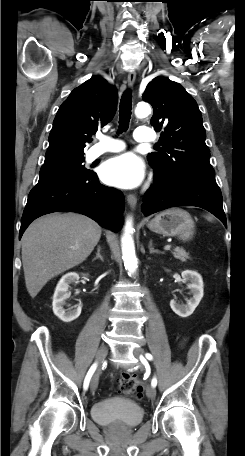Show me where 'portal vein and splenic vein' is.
Instances as JSON below:
<instances>
[{
    "mask_svg": "<svg viewBox=\"0 0 245 456\" xmlns=\"http://www.w3.org/2000/svg\"><path fill=\"white\" fill-rule=\"evenodd\" d=\"M171 247H172L171 245H166V246L164 247V250H170Z\"/></svg>",
    "mask_w": 245,
    "mask_h": 456,
    "instance_id": "obj_1",
    "label": "portal vein and splenic vein"
}]
</instances>
